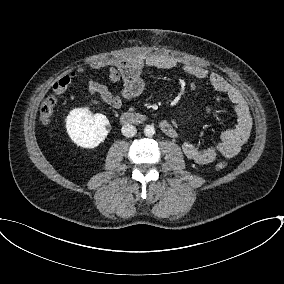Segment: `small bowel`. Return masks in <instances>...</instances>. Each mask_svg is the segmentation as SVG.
<instances>
[{"mask_svg": "<svg viewBox=\"0 0 284 284\" xmlns=\"http://www.w3.org/2000/svg\"><path fill=\"white\" fill-rule=\"evenodd\" d=\"M177 65V59L168 54H139L126 60L94 61L91 63L92 69L107 70L110 83L121 81L123 85L118 93H113L105 84L92 81L88 84L87 90L92 95L98 94L106 104L118 108L124 101L143 93L145 89L142 75L144 68L172 69ZM183 70L186 74L207 82L210 87L224 94L233 105L236 116V123L225 129L219 140L207 148L201 149L193 142H184L182 144L184 155L190 161L200 165L210 164L219 156L226 158L236 156L248 140L252 128L250 110L241 93L220 74L210 72L198 65L185 64ZM85 72L86 68L80 67L58 78L53 84L54 91L57 94L64 93L72 79ZM210 112L211 108L208 107L207 113Z\"/></svg>", "mask_w": 284, "mask_h": 284, "instance_id": "c3829d8e", "label": "small bowel"}]
</instances>
